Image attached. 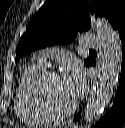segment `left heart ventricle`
I'll return each instance as SVG.
<instances>
[{
  "mask_svg": "<svg viewBox=\"0 0 125 128\" xmlns=\"http://www.w3.org/2000/svg\"><path fill=\"white\" fill-rule=\"evenodd\" d=\"M42 95L46 104L55 111L68 108L74 101L60 75L49 79L44 84Z\"/></svg>",
  "mask_w": 125,
  "mask_h": 128,
  "instance_id": "obj_1",
  "label": "left heart ventricle"
}]
</instances>
